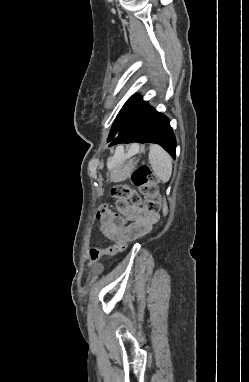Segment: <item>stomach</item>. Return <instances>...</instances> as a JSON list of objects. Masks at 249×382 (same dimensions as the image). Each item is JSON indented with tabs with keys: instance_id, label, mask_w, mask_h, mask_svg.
<instances>
[{
	"instance_id": "obj_1",
	"label": "stomach",
	"mask_w": 249,
	"mask_h": 382,
	"mask_svg": "<svg viewBox=\"0 0 249 382\" xmlns=\"http://www.w3.org/2000/svg\"><path fill=\"white\" fill-rule=\"evenodd\" d=\"M138 160L136 159H114L109 166V177L111 182H121L126 180L135 169Z\"/></svg>"
}]
</instances>
